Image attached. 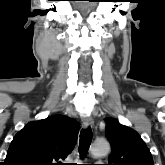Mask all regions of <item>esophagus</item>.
<instances>
[{
	"label": "esophagus",
	"mask_w": 165,
	"mask_h": 165,
	"mask_svg": "<svg viewBox=\"0 0 165 165\" xmlns=\"http://www.w3.org/2000/svg\"><path fill=\"white\" fill-rule=\"evenodd\" d=\"M81 120L85 128H88L93 125V120L90 116H82Z\"/></svg>",
	"instance_id": "esophagus-1"
}]
</instances>
